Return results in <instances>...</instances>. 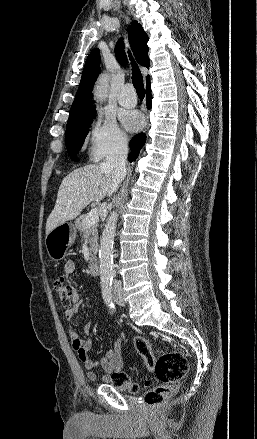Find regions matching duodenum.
<instances>
[{"instance_id":"duodenum-1","label":"duodenum","mask_w":257,"mask_h":439,"mask_svg":"<svg viewBox=\"0 0 257 439\" xmlns=\"http://www.w3.org/2000/svg\"><path fill=\"white\" fill-rule=\"evenodd\" d=\"M89 271L93 277L100 275V266L96 261H92L89 265Z\"/></svg>"}]
</instances>
